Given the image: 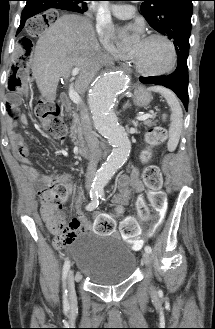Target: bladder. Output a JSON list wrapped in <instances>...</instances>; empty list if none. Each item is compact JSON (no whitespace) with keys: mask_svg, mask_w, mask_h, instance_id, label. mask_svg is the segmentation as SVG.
Segmentation results:
<instances>
[{"mask_svg":"<svg viewBox=\"0 0 215 329\" xmlns=\"http://www.w3.org/2000/svg\"><path fill=\"white\" fill-rule=\"evenodd\" d=\"M71 254L79 276L97 285L128 280L136 269L135 254L123 240L109 234H80Z\"/></svg>","mask_w":215,"mask_h":329,"instance_id":"bladder-1","label":"bladder"}]
</instances>
